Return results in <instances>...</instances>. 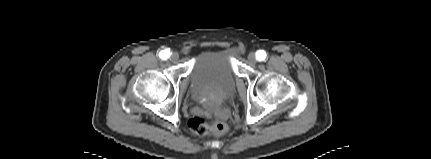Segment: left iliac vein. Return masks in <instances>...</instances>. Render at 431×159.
Listing matches in <instances>:
<instances>
[{"mask_svg": "<svg viewBox=\"0 0 431 159\" xmlns=\"http://www.w3.org/2000/svg\"><path fill=\"white\" fill-rule=\"evenodd\" d=\"M248 61L252 64H255L257 62V57L255 53L252 52L248 55Z\"/></svg>", "mask_w": 431, "mask_h": 159, "instance_id": "4c4485c4", "label": "left iliac vein"}]
</instances>
